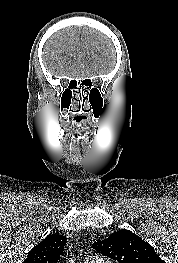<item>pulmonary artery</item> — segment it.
I'll return each mask as SVG.
<instances>
[{
    "label": "pulmonary artery",
    "mask_w": 178,
    "mask_h": 263,
    "mask_svg": "<svg viewBox=\"0 0 178 263\" xmlns=\"http://www.w3.org/2000/svg\"><path fill=\"white\" fill-rule=\"evenodd\" d=\"M91 260H101V259L98 258V257H94V258H92Z\"/></svg>",
    "instance_id": "obj_1"
}]
</instances>
